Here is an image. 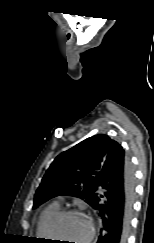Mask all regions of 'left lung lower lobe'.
I'll return each instance as SVG.
<instances>
[{"label": "left lung lower lobe", "mask_w": 154, "mask_h": 243, "mask_svg": "<svg viewBox=\"0 0 154 243\" xmlns=\"http://www.w3.org/2000/svg\"><path fill=\"white\" fill-rule=\"evenodd\" d=\"M93 208L102 220L97 243H126L134 200V173L122 147L111 149L98 175Z\"/></svg>", "instance_id": "1"}]
</instances>
